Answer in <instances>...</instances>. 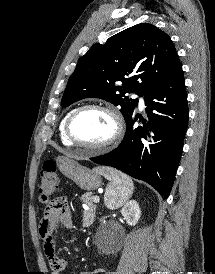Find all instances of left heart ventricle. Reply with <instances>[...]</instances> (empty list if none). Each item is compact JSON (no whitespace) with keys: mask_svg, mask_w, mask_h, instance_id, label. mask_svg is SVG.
<instances>
[{"mask_svg":"<svg viewBox=\"0 0 215 274\" xmlns=\"http://www.w3.org/2000/svg\"><path fill=\"white\" fill-rule=\"evenodd\" d=\"M113 131L112 118L106 112L97 109L82 111L72 124L74 136L85 144H100L109 139Z\"/></svg>","mask_w":215,"mask_h":274,"instance_id":"1","label":"left heart ventricle"}]
</instances>
